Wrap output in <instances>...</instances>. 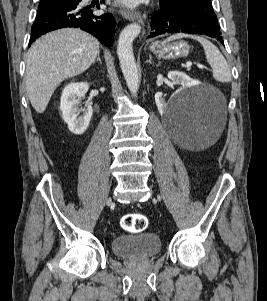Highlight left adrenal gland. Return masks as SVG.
Wrapping results in <instances>:
<instances>
[{"label": "left adrenal gland", "mask_w": 267, "mask_h": 301, "mask_svg": "<svg viewBox=\"0 0 267 301\" xmlns=\"http://www.w3.org/2000/svg\"><path fill=\"white\" fill-rule=\"evenodd\" d=\"M151 59H152V56L149 55V60H147L146 62H147V63H150V64H154V62H152Z\"/></svg>", "instance_id": "a2214340"}]
</instances>
